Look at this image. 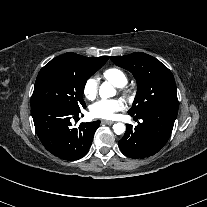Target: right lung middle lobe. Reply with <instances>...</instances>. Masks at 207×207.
<instances>
[{
	"label": "right lung middle lobe",
	"mask_w": 207,
	"mask_h": 207,
	"mask_svg": "<svg viewBox=\"0 0 207 207\" xmlns=\"http://www.w3.org/2000/svg\"><path fill=\"white\" fill-rule=\"evenodd\" d=\"M105 62L64 54L54 58L37 76L31 107L50 103L72 111L85 108L82 97L85 83Z\"/></svg>",
	"instance_id": "dd1d6c3e"
}]
</instances>
